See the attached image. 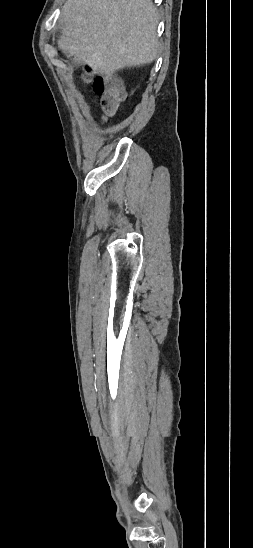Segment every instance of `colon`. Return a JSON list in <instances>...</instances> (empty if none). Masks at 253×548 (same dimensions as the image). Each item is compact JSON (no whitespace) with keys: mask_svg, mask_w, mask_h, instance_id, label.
<instances>
[{"mask_svg":"<svg viewBox=\"0 0 253 548\" xmlns=\"http://www.w3.org/2000/svg\"><path fill=\"white\" fill-rule=\"evenodd\" d=\"M84 78L87 81H92L93 88L100 97L102 109L109 115L114 114L124 98V88L121 80L104 76H97L93 79L89 76Z\"/></svg>","mask_w":253,"mask_h":548,"instance_id":"obj_1","label":"colon"}]
</instances>
